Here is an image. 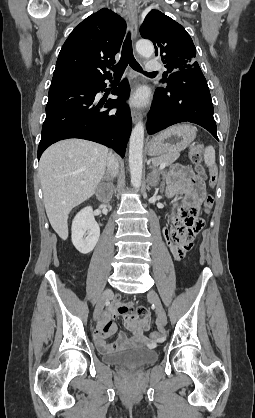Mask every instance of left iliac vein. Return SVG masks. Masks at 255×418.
Wrapping results in <instances>:
<instances>
[{"instance_id": "obj_1", "label": "left iliac vein", "mask_w": 255, "mask_h": 418, "mask_svg": "<svg viewBox=\"0 0 255 418\" xmlns=\"http://www.w3.org/2000/svg\"><path fill=\"white\" fill-rule=\"evenodd\" d=\"M148 299L155 305L156 312H157V317H158V322L162 326H166L167 316H166L165 310L163 308V305L161 303V300H160L158 294L154 290H151L148 293Z\"/></svg>"}]
</instances>
